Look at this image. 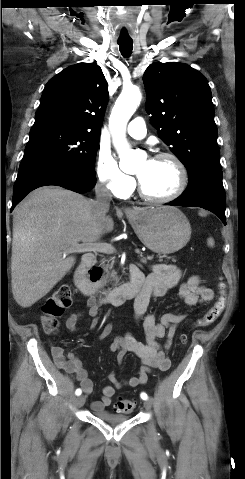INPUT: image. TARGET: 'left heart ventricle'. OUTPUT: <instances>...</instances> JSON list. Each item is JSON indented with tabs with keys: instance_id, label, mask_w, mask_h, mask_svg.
<instances>
[{
	"instance_id": "1",
	"label": "left heart ventricle",
	"mask_w": 245,
	"mask_h": 479,
	"mask_svg": "<svg viewBox=\"0 0 245 479\" xmlns=\"http://www.w3.org/2000/svg\"><path fill=\"white\" fill-rule=\"evenodd\" d=\"M147 194L161 197L171 193L178 181V172L169 159L143 160L136 172Z\"/></svg>"
}]
</instances>
